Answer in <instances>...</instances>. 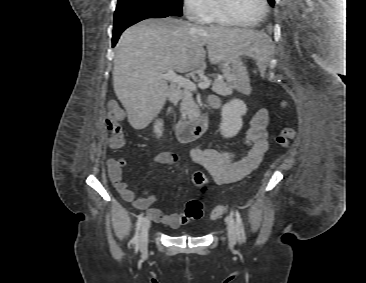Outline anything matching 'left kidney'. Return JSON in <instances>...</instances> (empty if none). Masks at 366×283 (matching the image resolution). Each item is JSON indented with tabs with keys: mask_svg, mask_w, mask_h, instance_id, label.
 <instances>
[{
	"mask_svg": "<svg viewBox=\"0 0 366 283\" xmlns=\"http://www.w3.org/2000/svg\"><path fill=\"white\" fill-rule=\"evenodd\" d=\"M247 112L246 104L234 99L227 102L221 110L220 132L225 138L234 137L241 130L242 116Z\"/></svg>",
	"mask_w": 366,
	"mask_h": 283,
	"instance_id": "5707ae66",
	"label": "left kidney"
}]
</instances>
